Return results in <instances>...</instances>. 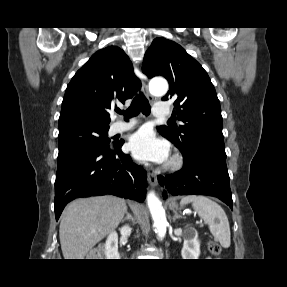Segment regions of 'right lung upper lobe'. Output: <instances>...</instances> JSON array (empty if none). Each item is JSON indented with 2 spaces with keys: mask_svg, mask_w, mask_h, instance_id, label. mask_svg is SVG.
Masks as SVG:
<instances>
[{
  "mask_svg": "<svg viewBox=\"0 0 287 287\" xmlns=\"http://www.w3.org/2000/svg\"><path fill=\"white\" fill-rule=\"evenodd\" d=\"M141 88L128 56L109 46L91 56L67 86L59 127L76 122L109 125L115 101L122 103Z\"/></svg>",
  "mask_w": 287,
  "mask_h": 287,
  "instance_id": "right-lung-upper-lobe-1",
  "label": "right lung upper lobe"
}]
</instances>
